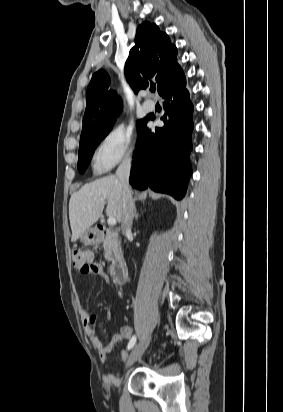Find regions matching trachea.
<instances>
[{
	"label": "trachea",
	"mask_w": 283,
	"mask_h": 412,
	"mask_svg": "<svg viewBox=\"0 0 283 412\" xmlns=\"http://www.w3.org/2000/svg\"><path fill=\"white\" fill-rule=\"evenodd\" d=\"M155 90H156V87H151L150 89L151 92H155Z\"/></svg>",
	"instance_id": "trachea-1"
}]
</instances>
